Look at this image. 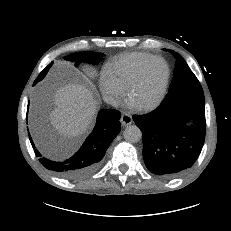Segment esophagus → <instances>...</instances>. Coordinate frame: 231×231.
I'll return each instance as SVG.
<instances>
[{
	"mask_svg": "<svg viewBox=\"0 0 231 231\" xmlns=\"http://www.w3.org/2000/svg\"><path fill=\"white\" fill-rule=\"evenodd\" d=\"M120 122L123 127H126L133 122L132 116L128 113H123L121 115Z\"/></svg>",
	"mask_w": 231,
	"mask_h": 231,
	"instance_id": "34e87169",
	"label": "esophagus"
}]
</instances>
